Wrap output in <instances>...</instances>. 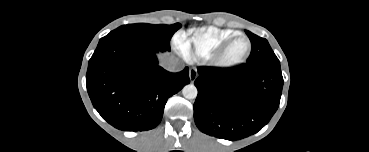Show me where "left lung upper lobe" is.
Listing matches in <instances>:
<instances>
[{"label": "left lung upper lobe", "instance_id": "left-lung-upper-lobe-1", "mask_svg": "<svg viewBox=\"0 0 369 152\" xmlns=\"http://www.w3.org/2000/svg\"><path fill=\"white\" fill-rule=\"evenodd\" d=\"M246 34L250 38L252 49L246 64L280 63L272 51L268 41L249 31Z\"/></svg>", "mask_w": 369, "mask_h": 152}]
</instances>
